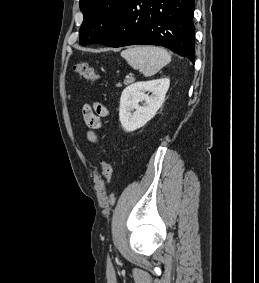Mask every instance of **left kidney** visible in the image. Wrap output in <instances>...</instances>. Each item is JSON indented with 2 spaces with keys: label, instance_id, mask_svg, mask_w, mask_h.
Instances as JSON below:
<instances>
[{
  "label": "left kidney",
  "instance_id": "obj_1",
  "mask_svg": "<svg viewBox=\"0 0 259 283\" xmlns=\"http://www.w3.org/2000/svg\"><path fill=\"white\" fill-rule=\"evenodd\" d=\"M169 86V78H161L136 82L126 87L122 92L119 108V119L123 129L132 132L151 120L162 106ZM146 92L152 94L149 96Z\"/></svg>",
  "mask_w": 259,
  "mask_h": 283
}]
</instances>
